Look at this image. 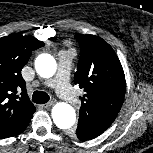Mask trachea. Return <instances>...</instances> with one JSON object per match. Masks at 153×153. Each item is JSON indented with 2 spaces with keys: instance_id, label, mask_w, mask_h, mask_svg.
<instances>
[{
  "instance_id": "3493384b",
  "label": "trachea",
  "mask_w": 153,
  "mask_h": 153,
  "mask_svg": "<svg viewBox=\"0 0 153 153\" xmlns=\"http://www.w3.org/2000/svg\"><path fill=\"white\" fill-rule=\"evenodd\" d=\"M49 100L50 97L46 92L35 91L32 95V101L37 104L47 103Z\"/></svg>"
}]
</instances>
